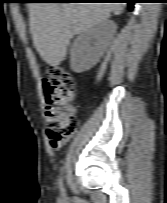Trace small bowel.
<instances>
[{
  "mask_svg": "<svg viewBox=\"0 0 167 203\" xmlns=\"http://www.w3.org/2000/svg\"><path fill=\"white\" fill-rule=\"evenodd\" d=\"M68 141V137L61 140L56 146H52L55 150H60L63 145Z\"/></svg>",
  "mask_w": 167,
  "mask_h": 203,
  "instance_id": "small-bowel-1",
  "label": "small bowel"
}]
</instances>
